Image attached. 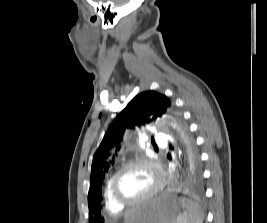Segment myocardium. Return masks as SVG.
Instances as JSON below:
<instances>
[{"label":"myocardium","mask_w":267,"mask_h":223,"mask_svg":"<svg viewBox=\"0 0 267 223\" xmlns=\"http://www.w3.org/2000/svg\"><path fill=\"white\" fill-rule=\"evenodd\" d=\"M135 165H144L152 169L153 173L155 174L156 180L153 188L140 197L139 199L132 200V201H127L122 199L116 190V182L118 177L121 175L122 172H124L127 168ZM164 185V172L161 169V167L152 159L147 158V157H135L133 159H130L126 163H124L111 177L109 187H110V193L113 198V200L120 206L122 207H135L140 204H143L156 196L161 189L163 188Z\"/></svg>","instance_id":"f54148a6"}]
</instances>
